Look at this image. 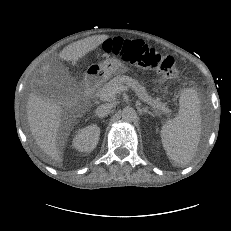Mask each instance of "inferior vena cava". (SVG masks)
Instances as JSON below:
<instances>
[{"label":"inferior vena cava","instance_id":"1","mask_svg":"<svg viewBox=\"0 0 231 231\" xmlns=\"http://www.w3.org/2000/svg\"><path fill=\"white\" fill-rule=\"evenodd\" d=\"M111 108L110 104H102L96 108L95 114L99 118H104L110 113Z\"/></svg>","mask_w":231,"mask_h":231}]
</instances>
